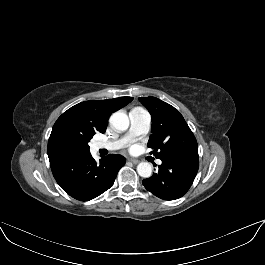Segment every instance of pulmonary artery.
Returning a JSON list of instances; mask_svg holds the SVG:
<instances>
[{"label":"pulmonary artery","instance_id":"obj_1","mask_svg":"<svg viewBox=\"0 0 265 265\" xmlns=\"http://www.w3.org/2000/svg\"><path fill=\"white\" fill-rule=\"evenodd\" d=\"M131 125L126 134L113 141H100L96 143L98 149L118 150L126 147L139 136L146 134L150 128V115L142 108H133L130 113ZM158 164L161 161H157Z\"/></svg>","mask_w":265,"mask_h":265}]
</instances>
